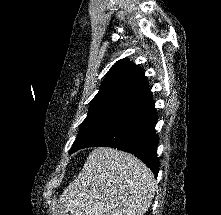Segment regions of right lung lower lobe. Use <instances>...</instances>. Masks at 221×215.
<instances>
[{
  "instance_id": "1",
  "label": "right lung lower lobe",
  "mask_w": 221,
  "mask_h": 215,
  "mask_svg": "<svg viewBox=\"0 0 221 215\" xmlns=\"http://www.w3.org/2000/svg\"><path fill=\"white\" fill-rule=\"evenodd\" d=\"M157 114L154 101L121 118L104 133L83 146H106L134 154L141 159L157 176L158 137L155 133Z\"/></svg>"
}]
</instances>
